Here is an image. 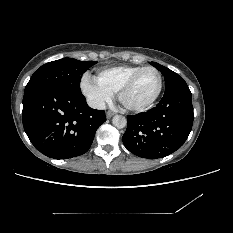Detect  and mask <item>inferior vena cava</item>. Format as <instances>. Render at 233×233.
<instances>
[{
	"label": "inferior vena cava",
	"mask_w": 233,
	"mask_h": 233,
	"mask_svg": "<svg viewBox=\"0 0 233 233\" xmlns=\"http://www.w3.org/2000/svg\"><path fill=\"white\" fill-rule=\"evenodd\" d=\"M88 105L91 108L99 109V110H104L106 108L105 102L102 100L89 99Z\"/></svg>",
	"instance_id": "1"
}]
</instances>
